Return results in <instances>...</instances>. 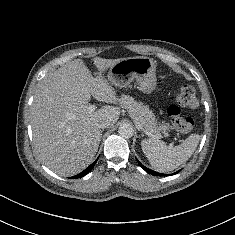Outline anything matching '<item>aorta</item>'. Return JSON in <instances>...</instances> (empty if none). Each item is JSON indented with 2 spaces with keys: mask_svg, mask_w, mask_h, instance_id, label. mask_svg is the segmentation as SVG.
Here are the masks:
<instances>
[{
  "mask_svg": "<svg viewBox=\"0 0 235 235\" xmlns=\"http://www.w3.org/2000/svg\"><path fill=\"white\" fill-rule=\"evenodd\" d=\"M118 133L124 138H131L134 133L133 126L129 123L121 124L118 128Z\"/></svg>",
  "mask_w": 235,
  "mask_h": 235,
  "instance_id": "obj_1",
  "label": "aorta"
}]
</instances>
